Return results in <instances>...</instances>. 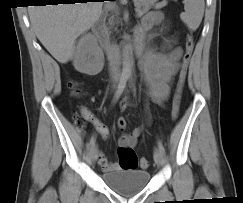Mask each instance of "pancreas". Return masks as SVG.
<instances>
[{
  "label": "pancreas",
  "mask_w": 243,
  "mask_h": 203,
  "mask_svg": "<svg viewBox=\"0 0 243 203\" xmlns=\"http://www.w3.org/2000/svg\"><path fill=\"white\" fill-rule=\"evenodd\" d=\"M133 2L136 7V11H139L142 14L148 12L152 7H155L157 9L167 5L166 0H163L161 3L158 4H156L157 0H133ZM114 24H115V17L112 16L109 19V25L110 27H113Z\"/></svg>",
  "instance_id": "obj_1"
}]
</instances>
